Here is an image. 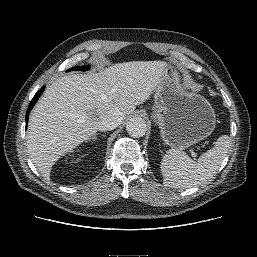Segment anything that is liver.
<instances>
[{"label": "liver", "instance_id": "obj_1", "mask_svg": "<svg viewBox=\"0 0 257 257\" xmlns=\"http://www.w3.org/2000/svg\"><path fill=\"white\" fill-rule=\"evenodd\" d=\"M165 69L163 61H132L54 81L29 119L27 148L38 171L49 179L55 161L89 140L102 116L118 110L124 117L148 100Z\"/></svg>", "mask_w": 257, "mask_h": 257}]
</instances>
